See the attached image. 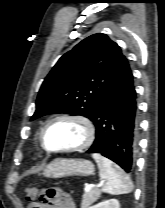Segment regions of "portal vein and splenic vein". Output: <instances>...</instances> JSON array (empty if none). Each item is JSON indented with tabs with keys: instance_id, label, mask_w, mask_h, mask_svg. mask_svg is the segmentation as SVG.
<instances>
[{
	"instance_id": "obj_1",
	"label": "portal vein and splenic vein",
	"mask_w": 165,
	"mask_h": 208,
	"mask_svg": "<svg viewBox=\"0 0 165 208\" xmlns=\"http://www.w3.org/2000/svg\"><path fill=\"white\" fill-rule=\"evenodd\" d=\"M101 185H102V182L99 184H87L85 186V192H89L92 188L100 187Z\"/></svg>"
}]
</instances>
